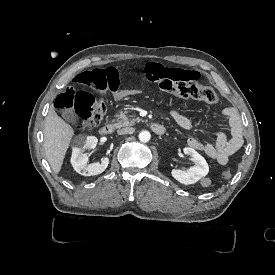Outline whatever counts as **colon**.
<instances>
[{"label":"colon","mask_w":275,"mask_h":275,"mask_svg":"<svg viewBox=\"0 0 275 275\" xmlns=\"http://www.w3.org/2000/svg\"><path fill=\"white\" fill-rule=\"evenodd\" d=\"M72 79L73 88L67 89L55 101L56 109L69 116L76 127H95L101 123L106 112V102L88 92H108L104 72H93L91 68H78ZM74 88H82L76 90ZM158 92L164 97L182 99H197L211 105L220 101L217 93L204 85H191L188 82L179 83L168 79L161 80L157 85ZM221 176L231 177L229 169L223 170Z\"/></svg>","instance_id":"colon-1"}]
</instances>
